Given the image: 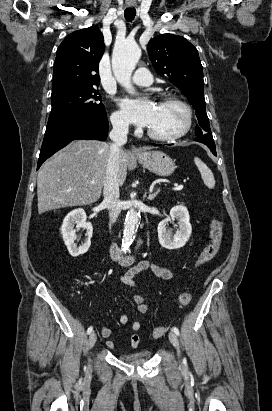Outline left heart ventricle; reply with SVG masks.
Returning <instances> with one entry per match:
<instances>
[{
    "label": "left heart ventricle",
    "mask_w": 272,
    "mask_h": 411,
    "mask_svg": "<svg viewBox=\"0 0 272 411\" xmlns=\"http://www.w3.org/2000/svg\"><path fill=\"white\" fill-rule=\"evenodd\" d=\"M186 113L174 103H158L154 119L149 128L159 135H173L182 130Z\"/></svg>",
    "instance_id": "obj_1"
}]
</instances>
